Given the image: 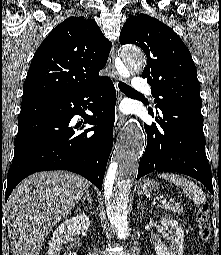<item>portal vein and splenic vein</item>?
I'll return each mask as SVG.
<instances>
[{"instance_id":"1","label":"portal vein and splenic vein","mask_w":221,"mask_h":255,"mask_svg":"<svg viewBox=\"0 0 221 255\" xmlns=\"http://www.w3.org/2000/svg\"><path fill=\"white\" fill-rule=\"evenodd\" d=\"M165 203H166V201H165V200H163V201H162V204H165Z\"/></svg>"}]
</instances>
